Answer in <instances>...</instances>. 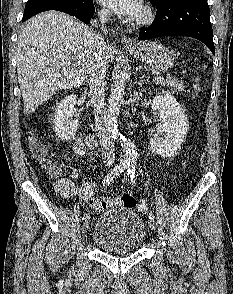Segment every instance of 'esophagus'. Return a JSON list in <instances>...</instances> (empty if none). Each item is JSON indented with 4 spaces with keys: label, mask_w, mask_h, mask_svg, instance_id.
Returning a JSON list of instances; mask_svg holds the SVG:
<instances>
[{
    "label": "esophagus",
    "mask_w": 233,
    "mask_h": 294,
    "mask_svg": "<svg viewBox=\"0 0 233 294\" xmlns=\"http://www.w3.org/2000/svg\"><path fill=\"white\" fill-rule=\"evenodd\" d=\"M122 44L126 47H135L137 45L134 40L127 36H123Z\"/></svg>",
    "instance_id": "obj_1"
}]
</instances>
